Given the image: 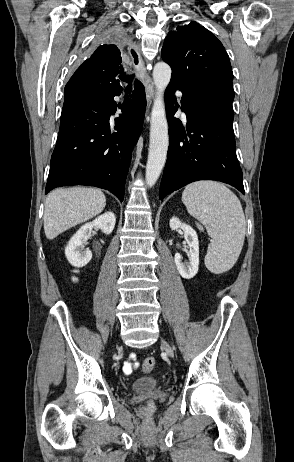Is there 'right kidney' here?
Instances as JSON below:
<instances>
[{
  "mask_svg": "<svg viewBox=\"0 0 294 462\" xmlns=\"http://www.w3.org/2000/svg\"><path fill=\"white\" fill-rule=\"evenodd\" d=\"M116 217L113 212H106L79 228L72 236L65 248V256L69 263L77 268L87 265L91 258L92 252L85 249L84 244L91 236L93 228L101 229L105 234H110L115 227Z\"/></svg>",
  "mask_w": 294,
  "mask_h": 462,
  "instance_id": "right-kidney-1",
  "label": "right kidney"
}]
</instances>
